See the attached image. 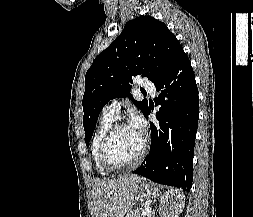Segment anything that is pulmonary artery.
I'll use <instances>...</instances> for the list:
<instances>
[{
	"label": "pulmonary artery",
	"instance_id": "e3ab8cb5",
	"mask_svg": "<svg viewBox=\"0 0 253 217\" xmlns=\"http://www.w3.org/2000/svg\"><path fill=\"white\" fill-rule=\"evenodd\" d=\"M141 86L148 91L150 94L154 95L156 93L153 83L144 80ZM120 113V102L118 99L111 100L103 109V115L117 118Z\"/></svg>",
	"mask_w": 253,
	"mask_h": 217
}]
</instances>
